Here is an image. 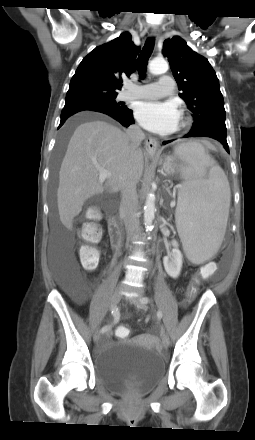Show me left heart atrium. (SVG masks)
<instances>
[{
    "label": "left heart atrium",
    "instance_id": "obj_1",
    "mask_svg": "<svg viewBox=\"0 0 255 440\" xmlns=\"http://www.w3.org/2000/svg\"><path fill=\"white\" fill-rule=\"evenodd\" d=\"M135 116L142 127L157 134L175 131L180 121V112L172 102H142L137 106Z\"/></svg>",
    "mask_w": 255,
    "mask_h": 440
}]
</instances>
